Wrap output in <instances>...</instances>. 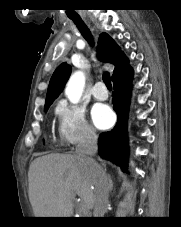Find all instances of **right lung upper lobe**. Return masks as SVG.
Instances as JSON below:
<instances>
[{
  "instance_id": "right-lung-upper-lobe-1",
  "label": "right lung upper lobe",
  "mask_w": 181,
  "mask_h": 227,
  "mask_svg": "<svg viewBox=\"0 0 181 227\" xmlns=\"http://www.w3.org/2000/svg\"><path fill=\"white\" fill-rule=\"evenodd\" d=\"M98 56L101 61L114 64L113 75L118 71L126 58L118 45L106 33H101L99 36ZM70 74L71 66L65 62L56 68L48 86L45 105L51 104L62 92Z\"/></svg>"
}]
</instances>
